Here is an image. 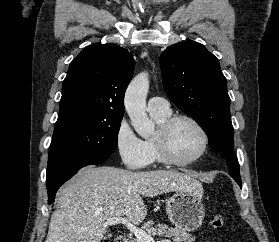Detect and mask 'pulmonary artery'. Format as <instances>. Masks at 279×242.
<instances>
[{
    "label": "pulmonary artery",
    "mask_w": 279,
    "mask_h": 242,
    "mask_svg": "<svg viewBox=\"0 0 279 242\" xmlns=\"http://www.w3.org/2000/svg\"><path fill=\"white\" fill-rule=\"evenodd\" d=\"M147 108L149 111L168 112L170 111L169 102L162 97H152L148 101Z\"/></svg>",
    "instance_id": "obj_1"
}]
</instances>
